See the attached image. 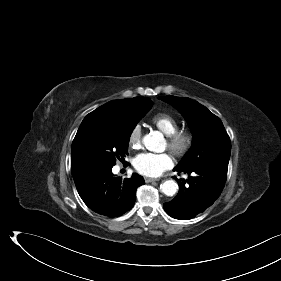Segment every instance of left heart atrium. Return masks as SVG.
Listing matches in <instances>:
<instances>
[{
  "mask_svg": "<svg viewBox=\"0 0 281 281\" xmlns=\"http://www.w3.org/2000/svg\"><path fill=\"white\" fill-rule=\"evenodd\" d=\"M172 166L173 160L168 153H141L134 159L136 171L149 177H158Z\"/></svg>",
  "mask_w": 281,
  "mask_h": 281,
  "instance_id": "1",
  "label": "left heart atrium"
}]
</instances>
